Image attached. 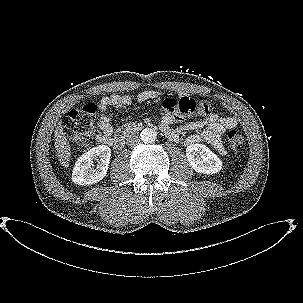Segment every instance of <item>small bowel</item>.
Here are the masks:
<instances>
[{
  "instance_id": "small-bowel-1",
  "label": "small bowel",
  "mask_w": 303,
  "mask_h": 303,
  "mask_svg": "<svg viewBox=\"0 0 303 303\" xmlns=\"http://www.w3.org/2000/svg\"><path fill=\"white\" fill-rule=\"evenodd\" d=\"M164 95L160 90H146L139 93L136 97L138 103H145L157 99ZM132 99L128 95L112 94L104 96L99 102L100 116L98 119V127L100 129L97 135V140L101 143L109 144L112 139L113 128L110 123L112 113L110 107L126 108L130 106ZM201 120L184 123L176 128L174 123L182 119L175 117L172 114H167L162 117L161 129L163 131H172L175 133V138L172 141H178L181 132L201 130L199 134H192L185 140L186 144L196 142H206L212 146L219 154H225V148L222 144V135L226 130L237 127L238 119L234 116L219 117L212 111V106L208 102H202L200 107Z\"/></svg>"
}]
</instances>
